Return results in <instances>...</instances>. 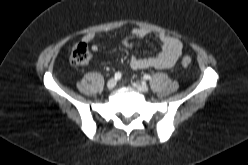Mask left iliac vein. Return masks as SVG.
I'll return each mask as SVG.
<instances>
[{
  "mask_svg": "<svg viewBox=\"0 0 248 165\" xmlns=\"http://www.w3.org/2000/svg\"><path fill=\"white\" fill-rule=\"evenodd\" d=\"M132 86L140 92H147L149 90L146 84L140 82H133Z\"/></svg>",
  "mask_w": 248,
  "mask_h": 165,
  "instance_id": "1",
  "label": "left iliac vein"
}]
</instances>
